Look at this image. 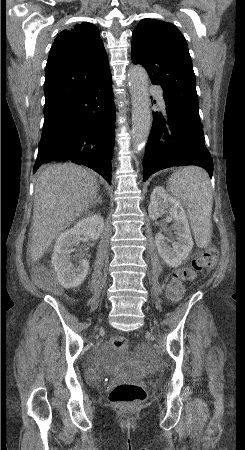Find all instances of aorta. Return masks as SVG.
<instances>
[{
	"instance_id": "obj_1",
	"label": "aorta",
	"mask_w": 245,
	"mask_h": 450,
	"mask_svg": "<svg viewBox=\"0 0 245 450\" xmlns=\"http://www.w3.org/2000/svg\"><path fill=\"white\" fill-rule=\"evenodd\" d=\"M148 74L140 66L128 70L132 100V143L135 151H140L148 140L151 128L150 99L148 94Z\"/></svg>"
}]
</instances>
